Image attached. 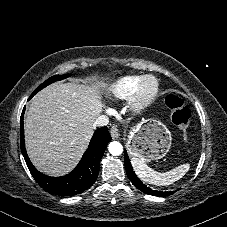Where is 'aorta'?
<instances>
[{
	"instance_id": "obj_1",
	"label": "aorta",
	"mask_w": 227,
	"mask_h": 227,
	"mask_svg": "<svg viewBox=\"0 0 227 227\" xmlns=\"http://www.w3.org/2000/svg\"><path fill=\"white\" fill-rule=\"evenodd\" d=\"M108 150L113 156H118L123 152V146L117 141H113L108 145Z\"/></svg>"
}]
</instances>
